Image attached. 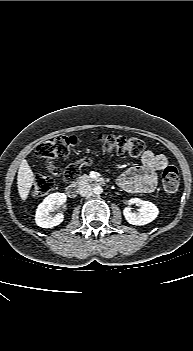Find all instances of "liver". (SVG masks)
<instances>
[{"label": "liver", "mask_w": 193, "mask_h": 351, "mask_svg": "<svg viewBox=\"0 0 193 351\" xmlns=\"http://www.w3.org/2000/svg\"><path fill=\"white\" fill-rule=\"evenodd\" d=\"M34 182V174L24 159L22 160L18 175H17V186H18V193L23 201H25L29 195L30 189Z\"/></svg>", "instance_id": "1"}]
</instances>
